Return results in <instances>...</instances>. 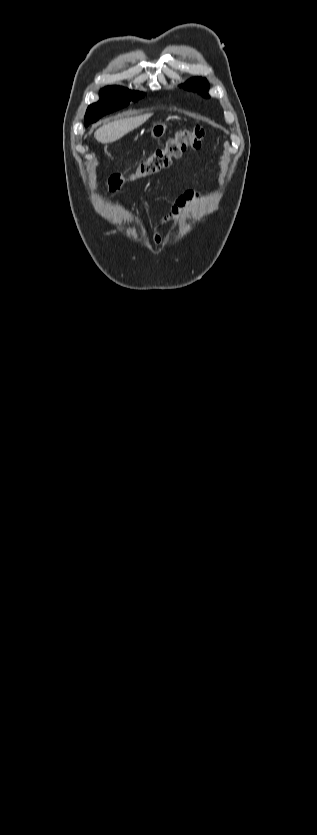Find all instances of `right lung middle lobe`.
Instances as JSON below:
<instances>
[{
  "label": "right lung middle lobe",
  "instance_id": "dd1d6c3e",
  "mask_svg": "<svg viewBox=\"0 0 317 835\" xmlns=\"http://www.w3.org/2000/svg\"><path fill=\"white\" fill-rule=\"evenodd\" d=\"M143 96L140 92L130 91L118 86H110L100 91V100L91 104L86 111L84 125L97 121L103 115L121 109L131 100L137 101Z\"/></svg>",
  "mask_w": 317,
  "mask_h": 835
}]
</instances>
